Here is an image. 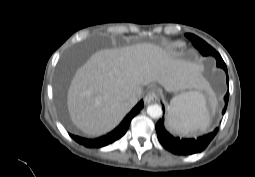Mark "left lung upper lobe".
Listing matches in <instances>:
<instances>
[{"label": "left lung upper lobe", "mask_w": 255, "mask_h": 177, "mask_svg": "<svg viewBox=\"0 0 255 177\" xmlns=\"http://www.w3.org/2000/svg\"><path fill=\"white\" fill-rule=\"evenodd\" d=\"M185 35L187 38H189L191 40L194 47L197 48L203 56H208V55L214 56L217 61V66L223 68L227 73L226 64L224 63L220 54L214 48H212L204 40H202L201 38H199L193 34L188 33Z\"/></svg>", "instance_id": "left-lung-upper-lobe-1"}]
</instances>
